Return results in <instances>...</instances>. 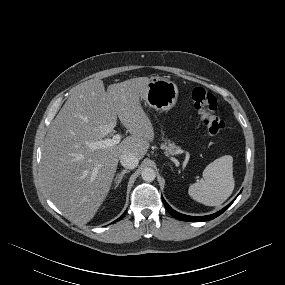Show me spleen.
Wrapping results in <instances>:
<instances>
[{
  "label": "spleen",
  "mask_w": 285,
  "mask_h": 285,
  "mask_svg": "<svg viewBox=\"0 0 285 285\" xmlns=\"http://www.w3.org/2000/svg\"><path fill=\"white\" fill-rule=\"evenodd\" d=\"M234 186L233 157L225 155L206 166L203 180L190 185L188 193L206 206H219L232 194Z\"/></svg>",
  "instance_id": "obj_1"
}]
</instances>
